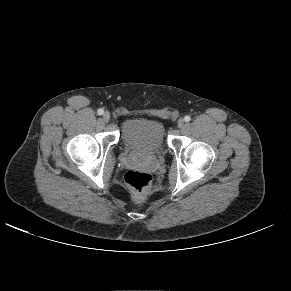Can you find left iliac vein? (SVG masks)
<instances>
[{
	"label": "left iliac vein",
	"mask_w": 291,
	"mask_h": 291,
	"mask_svg": "<svg viewBox=\"0 0 291 291\" xmlns=\"http://www.w3.org/2000/svg\"><path fill=\"white\" fill-rule=\"evenodd\" d=\"M183 126H184V119L180 118V119L178 120V127H179V128H182Z\"/></svg>",
	"instance_id": "1"
}]
</instances>
